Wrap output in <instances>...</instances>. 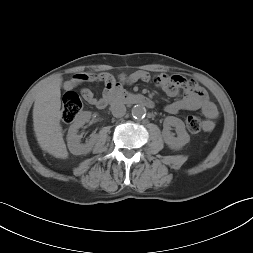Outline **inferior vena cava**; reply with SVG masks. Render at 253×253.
<instances>
[{
  "label": "inferior vena cava",
  "instance_id": "602c4592",
  "mask_svg": "<svg viewBox=\"0 0 253 253\" xmlns=\"http://www.w3.org/2000/svg\"><path fill=\"white\" fill-rule=\"evenodd\" d=\"M110 110L114 117H122L126 113V107L121 103H114L111 105Z\"/></svg>",
  "mask_w": 253,
  "mask_h": 253
}]
</instances>
